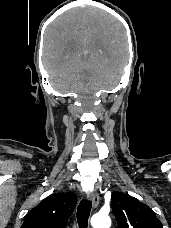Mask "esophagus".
I'll use <instances>...</instances> for the list:
<instances>
[{"mask_svg": "<svg viewBox=\"0 0 171 228\" xmlns=\"http://www.w3.org/2000/svg\"><path fill=\"white\" fill-rule=\"evenodd\" d=\"M88 199L92 201L93 207L96 208L99 204V195L95 191L88 194Z\"/></svg>", "mask_w": 171, "mask_h": 228, "instance_id": "obj_1", "label": "esophagus"}]
</instances>
